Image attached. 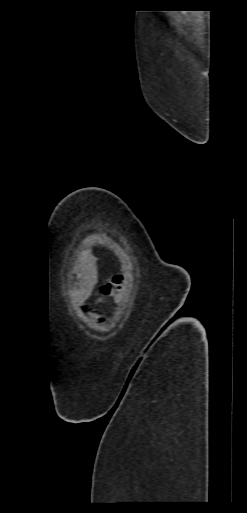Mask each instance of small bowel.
Here are the masks:
<instances>
[{
    "mask_svg": "<svg viewBox=\"0 0 247 513\" xmlns=\"http://www.w3.org/2000/svg\"><path fill=\"white\" fill-rule=\"evenodd\" d=\"M73 270L72 298L77 303H84L91 296L96 284V267L91 260L76 258L71 261ZM93 318L92 313H88Z\"/></svg>",
    "mask_w": 247,
    "mask_h": 513,
    "instance_id": "obj_1",
    "label": "small bowel"
}]
</instances>
